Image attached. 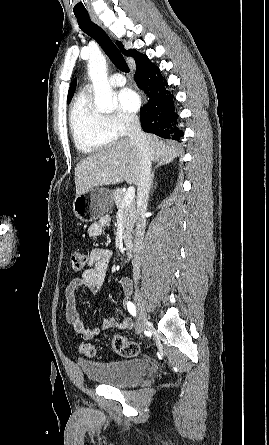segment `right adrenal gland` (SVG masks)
<instances>
[{"label": "right adrenal gland", "instance_id": "1", "mask_svg": "<svg viewBox=\"0 0 269 445\" xmlns=\"http://www.w3.org/2000/svg\"><path fill=\"white\" fill-rule=\"evenodd\" d=\"M154 171L151 174V189L153 188Z\"/></svg>", "mask_w": 269, "mask_h": 445}]
</instances>
